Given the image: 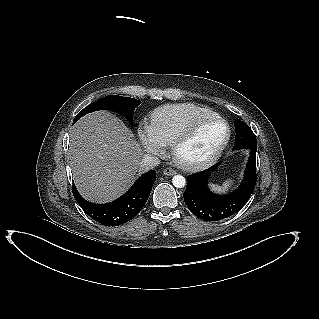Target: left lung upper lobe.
<instances>
[{
  "instance_id": "1",
  "label": "left lung upper lobe",
  "mask_w": 319,
  "mask_h": 319,
  "mask_svg": "<svg viewBox=\"0 0 319 319\" xmlns=\"http://www.w3.org/2000/svg\"><path fill=\"white\" fill-rule=\"evenodd\" d=\"M235 149H257V140L250 127L243 121L236 120Z\"/></svg>"
}]
</instances>
